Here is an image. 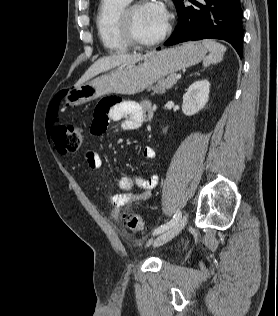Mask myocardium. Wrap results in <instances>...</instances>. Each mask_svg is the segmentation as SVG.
<instances>
[{
  "mask_svg": "<svg viewBox=\"0 0 278 316\" xmlns=\"http://www.w3.org/2000/svg\"><path fill=\"white\" fill-rule=\"evenodd\" d=\"M144 4V1H140L133 5H130L124 9L121 15V29L123 35L129 45L136 48H149L156 46L163 42L171 32V24L167 22L163 32L155 39L150 41H143L137 37L133 27L132 13L136 7Z\"/></svg>",
  "mask_w": 278,
  "mask_h": 316,
  "instance_id": "obj_1",
  "label": "myocardium"
}]
</instances>
